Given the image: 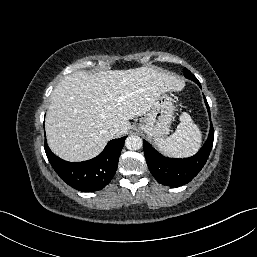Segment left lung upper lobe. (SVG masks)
I'll return each instance as SVG.
<instances>
[{
    "label": "left lung upper lobe",
    "instance_id": "1",
    "mask_svg": "<svg viewBox=\"0 0 257 257\" xmlns=\"http://www.w3.org/2000/svg\"><path fill=\"white\" fill-rule=\"evenodd\" d=\"M184 76L193 81L197 80V78L187 68L184 69Z\"/></svg>",
    "mask_w": 257,
    "mask_h": 257
}]
</instances>
